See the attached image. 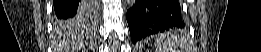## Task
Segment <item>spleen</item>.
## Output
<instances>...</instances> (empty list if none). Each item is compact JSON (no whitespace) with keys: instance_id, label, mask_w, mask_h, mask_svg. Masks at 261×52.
<instances>
[{"instance_id":"3e777b00","label":"spleen","mask_w":261,"mask_h":52,"mask_svg":"<svg viewBox=\"0 0 261 52\" xmlns=\"http://www.w3.org/2000/svg\"><path fill=\"white\" fill-rule=\"evenodd\" d=\"M155 47L157 52H179L181 35L175 31L157 35Z\"/></svg>"}]
</instances>
